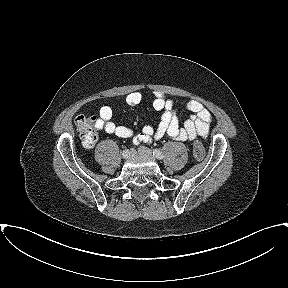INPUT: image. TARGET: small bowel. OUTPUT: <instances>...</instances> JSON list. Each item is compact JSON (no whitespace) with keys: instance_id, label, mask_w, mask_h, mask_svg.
Returning <instances> with one entry per match:
<instances>
[{"instance_id":"c3829d8e","label":"small bowel","mask_w":288,"mask_h":288,"mask_svg":"<svg viewBox=\"0 0 288 288\" xmlns=\"http://www.w3.org/2000/svg\"><path fill=\"white\" fill-rule=\"evenodd\" d=\"M125 100L128 105L137 106L142 101V94L138 91L131 92ZM152 107L157 111H163L156 129L152 126H145L139 134L134 136L130 128L117 125L112 121L113 111L109 106H103L100 109L96 127L120 138L132 137L134 144L148 143L152 139H159L163 136L177 141H193L197 136L207 137L211 114L200 102L196 100L186 102L185 107L192 115L184 122L183 126L179 124L177 110L171 99H166L160 93L156 94L152 100Z\"/></svg>"}]
</instances>
